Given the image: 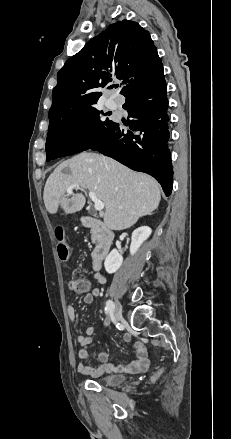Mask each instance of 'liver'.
Listing matches in <instances>:
<instances>
[{
  "mask_svg": "<svg viewBox=\"0 0 231 439\" xmlns=\"http://www.w3.org/2000/svg\"><path fill=\"white\" fill-rule=\"evenodd\" d=\"M73 184L94 192L104 203V224L111 230L130 228L157 209L161 200L159 184L151 176L109 157L84 152L62 162L48 177L43 200L50 214L57 213L59 206L66 214L82 210L86 203L82 193L71 198L65 194Z\"/></svg>",
  "mask_w": 231,
  "mask_h": 439,
  "instance_id": "1",
  "label": "liver"
}]
</instances>
